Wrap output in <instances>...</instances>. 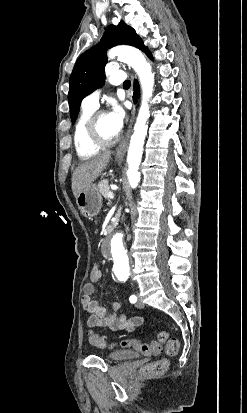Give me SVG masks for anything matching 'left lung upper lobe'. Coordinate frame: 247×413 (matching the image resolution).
I'll return each instance as SVG.
<instances>
[{
  "label": "left lung upper lobe",
  "mask_w": 247,
  "mask_h": 413,
  "mask_svg": "<svg viewBox=\"0 0 247 413\" xmlns=\"http://www.w3.org/2000/svg\"><path fill=\"white\" fill-rule=\"evenodd\" d=\"M120 44L131 45L147 55L151 54L135 30L125 22L120 21L118 26L109 25L98 45L78 58L70 76L68 101L72 123L76 120L82 99L104 83L107 49Z\"/></svg>",
  "instance_id": "5c2ea615"
}]
</instances>
